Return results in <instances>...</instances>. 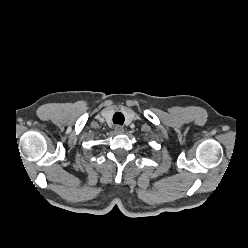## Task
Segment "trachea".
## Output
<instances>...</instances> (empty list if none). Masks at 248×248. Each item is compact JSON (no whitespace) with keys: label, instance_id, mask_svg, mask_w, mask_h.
Wrapping results in <instances>:
<instances>
[{"label":"trachea","instance_id":"3493384b","mask_svg":"<svg viewBox=\"0 0 248 248\" xmlns=\"http://www.w3.org/2000/svg\"><path fill=\"white\" fill-rule=\"evenodd\" d=\"M124 115L121 112H116L113 116V123L122 125L124 123Z\"/></svg>","mask_w":248,"mask_h":248}]
</instances>
